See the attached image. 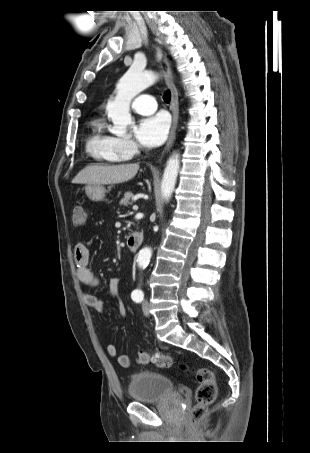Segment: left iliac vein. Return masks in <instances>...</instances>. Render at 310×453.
I'll list each match as a JSON object with an SVG mask.
<instances>
[{"label": "left iliac vein", "instance_id": "1", "mask_svg": "<svg viewBox=\"0 0 310 453\" xmlns=\"http://www.w3.org/2000/svg\"><path fill=\"white\" fill-rule=\"evenodd\" d=\"M142 311L145 316H149V302L147 300H144L142 302Z\"/></svg>", "mask_w": 310, "mask_h": 453}]
</instances>
